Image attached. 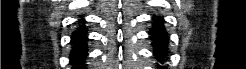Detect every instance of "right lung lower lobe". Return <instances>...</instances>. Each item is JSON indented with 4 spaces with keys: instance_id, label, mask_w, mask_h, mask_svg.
<instances>
[{
    "instance_id": "right-lung-lower-lobe-1",
    "label": "right lung lower lobe",
    "mask_w": 246,
    "mask_h": 69,
    "mask_svg": "<svg viewBox=\"0 0 246 69\" xmlns=\"http://www.w3.org/2000/svg\"><path fill=\"white\" fill-rule=\"evenodd\" d=\"M80 27L72 35V53L70 55L71 63H73L75 69L80 68L81 64L84 63L87 56V30L85 29V21L79 20Z\"/></svg>"
}]
</instances>
